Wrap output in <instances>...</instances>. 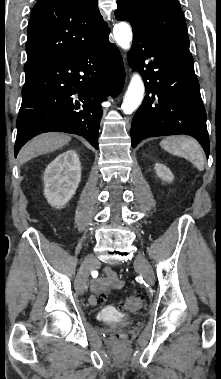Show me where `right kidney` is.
Segmentation results:
<instances>
[{
  "label": "right kidney",
  "instance_id": "right-kidney-1",
  "mask_svg": "<svg viewBox=\"0 0 221 379\" xmlns=\"http://www.w3.org/2000/svg\"><path fill=\"white\" fill-rule=\"evenodd\" d=\"M44 195L55 208H63L81 181V163L75 150L59 154L44 173Z\"/></svg>",
  "mask_w": 221,
  "mask_h": 379
}]
</instances>
